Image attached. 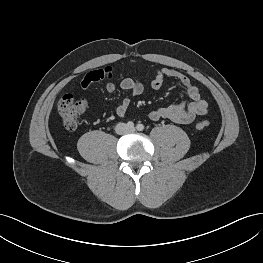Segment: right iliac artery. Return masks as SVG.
Listing matches in <instances>:
<instances>
[{
    "mask_svg": "<svg viewBox=\"0 0 263 263\" xmlns=\"http://www.w3.org/2000/svg\"><path fill=\"white\" fill-rule=\"evenodd\" d=\"M127 127H128V128H134V123H133L132 121H129V122L127 123Z\"/></svg>",
    "mask_w": 263,
    "mask_h": 263,
    "instance_id": "right-iliac-artery-1",
    "label": "right iliac artery"
}]
</instances>
